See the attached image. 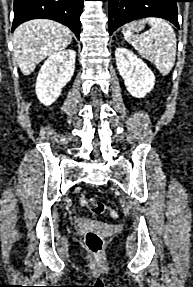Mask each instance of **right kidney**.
Returning <instances> with one entry per match:
<instances>
[{"label":"right kidney","mask_w":193,"mask_h":287,"mask_svg":"<svg viewBox=\"0 0 193 287\" xmlns=\"http://www.w3.org/2000/svg\"><path fill=\"white\" fill-rule=\"evenodd\" d=\"M75 59V51L68 49L52 54L45 61L36 81V95L42 104L51 105L60 96L73 76Z\"/></svg>","instance_id":"ca27d5eb"}]
</instances>
